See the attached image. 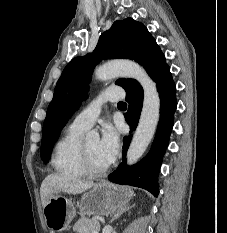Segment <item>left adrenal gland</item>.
Returning <instances> with one entry per match:
<instances>
[{"label": "left adrenal gland", "mask_w": 227, "mask_h": 233, "mask_svg": "<svg viewBox=\"0 0 227 233\" xmlns=\"http://www.w3.org/2000/svg\"><path fill=\"white\" fill-rule=\"evenodd\" d=\"M131 208H132V206L128 207V208L121 209V210H117L114 213L113 217L111 218L110 223H112L114 220L118 219L121 216V214H123L126 211H129Z\"/></svg>", "instance_id": "left-adrenal-gland-1"}]
</instances>
